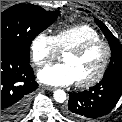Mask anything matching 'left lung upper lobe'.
Here are the masks:
<instances>
[{
  "mask_svg": "<svg viewBox=\"0 0 122 122\" xmlns=\"http://www.w3.org/2000/svg\"><path fill=\"white\" fill-rule=\"evenodd\" d=\"M95 23L104 33L111 48V61L107 71L104 74V77L115 73H122V45L102 21L95 19Z\"/></svg>",
  "mask_w": 122,
  "mask_h": 122,
  "instance_id": "left-lung-upper-lobe-1",
  "label": "left lung upper lobe"
}]
</instances>
